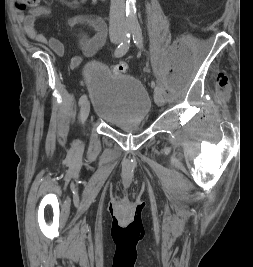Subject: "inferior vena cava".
Here are the masks:
<instances>
[{"mask_svg": "<svg viewBox=\"0 0 253 267\" xmlns=\"http://www.w3.org/2000/svg\"><path fill=\"white\" fill-rule=\"evenodd\" d=\"M125 26L126 22L124 0H111L110 30H123Z\"/></svg>", "mask_w": 253, "mask_h": 267, "instance_id": "inferior-vena-cava-1", "label": "inferior vena cava"}]
</instances>
